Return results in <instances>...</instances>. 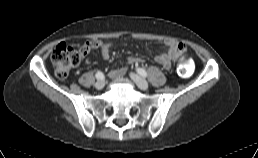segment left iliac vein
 <instances>
[{"label": "left iliac vein", "mask_w": 258, "mask_h": 158, "mask_svg": "<svg viewBox=\"0 0 258 158\" xmlns=\"http://www.w3.org/2000/svg\"><path fill=\"white\" fill-rule=\"evenodd\" d=\"M130 77L140 89L147 90L149 88L148 82L138 74L132 73Z\"/></svg>", "instance_id": "1"}]
</instances>
